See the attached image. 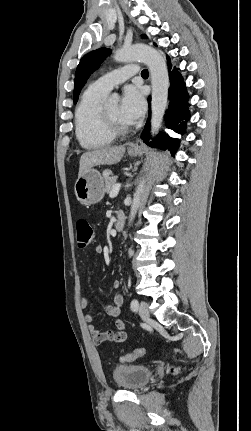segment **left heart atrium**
<instances>
[{
    "label": "left heart atrium",
    "mask_w": 251,
    "mask_h": 431,
    "mask_svg": "<svg viewBox=\"0 0 251 431\" xmlns=\"http://www.w3.org/2000/svg\"><path fill=\"white\" fill-rule=\"evenodd\" d=\"M120 111L123 119L128 124H135L140 120L145 111V99L142 91L137 86L125 87L120 103Z\"/></svg>",
    "instance_id": "39dd6f15"
}]
</instances>
